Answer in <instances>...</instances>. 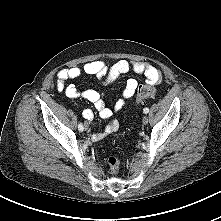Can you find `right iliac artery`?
I'll use <instances>...</instances> for the list:
<instances>
[{"label":"right iliac artery","instance_id":"1","mask_svg":"<svg viewBox=\"0 0 221 221\" xmlns=\"http://www.w3.org/2000/svg\"><path fill=\"white\" fill-rule=\"evenodd\" d=\"M78 130L79 131H83L84 130V127H83V125L81 123L78 125Z\"/></svg>","mask_w":221,"mask_h":221}]
</instances>
